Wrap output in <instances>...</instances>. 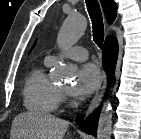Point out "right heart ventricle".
Segmentation results:
<instances>
[{
	"label": "right heart ventricle",
	"instance_id": "right-heart-ventricle-1",
	"mask_svg": "<svg viewBox=\"0 0 141 139\" xmlns=\"http://www.w3.org/2000/svg\"><path fill=\"white\" fill-rule=\"evenodd\" d=\"M51 63L44 61L42 66L34 68L27 76L23 87L25 108L35 114L53 113L60 102V89L46 75L45 68Z\"/></svg>",
	"mask_w": 141,
	"mask_h": 139
}]
</instances>
